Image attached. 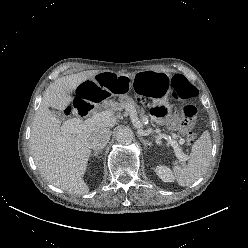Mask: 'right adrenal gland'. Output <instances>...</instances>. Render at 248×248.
<instances>
[{
	"instance_id": "obj_1",
	"label": "right adrenal gland",
	"mask_w": 248,
	"mask_h": 248,
	"mask_svg": "<svg viewBox=\"0 0 248 248\" xmlns=\"http://www.w3.org/2000/svg\"><path fill=\"white\" fill-rule=\"evenodd\" d=\"M101 152H102V150L94 151V153L91 154V156H94V157H96V158H99V157H98V154H100Z\"/></svg>"
}]
</instances>
